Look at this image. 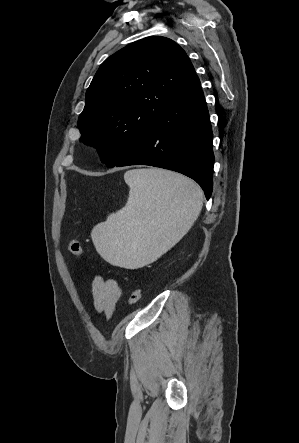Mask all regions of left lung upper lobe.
Here are the masks:
<instances>
[{"instance_id":"left-lung-upper-lobe-1","label":"left lung upper lobe","mask_w":299,"mask_h":443,"mask_svg":"<svg viewBox=\"0 0 299 443\" xmlns=\"http://www.w3.org/2000/svg\"><path fill=\"white\" fill-rule=\"evenodd\" d=\"M195 75L173 40L151 36L107 58L86 92L78 119L81 141L97 147L111 168L135 145Z\"/></svg>"}]
</instances>
